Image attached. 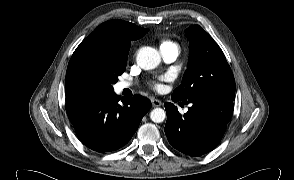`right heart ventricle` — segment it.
Returning <instances> with one entry per match:
<instances>
[{"label": "right heart ventricle", "mask_w": 294, "mask_h": 180, "mask_svg": "<svg viewBox=\"0 0 294 180\" xmlns=\"http://www.w3.org/2000/svg\"><path fill=\"white\" fill-rule=\"evenodd\" d=\"M169 48H177L178 49L177 45L174 42L170 41V40H161L159 42V50H160V52L162 50L169 49Z\"/></svg>", "instance_id": "e07e8e85"}]
</instances>
